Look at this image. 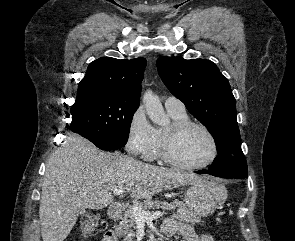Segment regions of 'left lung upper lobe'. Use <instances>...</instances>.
<instances>
[{
  "mask_svg": "<svg viewBox=\"0 0 295 241\" xmlns=\"http://www.w3.org/2000/svg\"><path fill=\"white\" fill-rule=\"evenodd\" d=\"M157 69L169 91L180 99L213 136L218 156L208 168L227 176L247 178L240 147L236 101L228 80L206 59L161 56Z\"/></svg>",
  "mask_w": 295,
  "mask_h": 241,
  "instance_id": "1",
  "label": "left lung upper lobe"
}]
</instances>
